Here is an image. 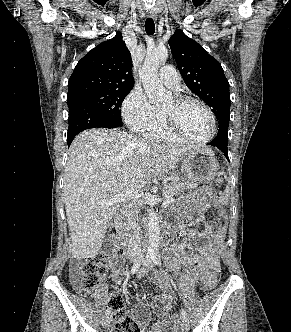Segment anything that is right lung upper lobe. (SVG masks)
I'll return each mask as SVG.
<instances>
[{"mask_svg": "<svg viewBox=\"0 0 291 332\" xmlns=\"http://www.w3.org/2000/svg\"><path fill=\"white\" fill-rule=\"evenodd\" d=\"M131 70V54L118 32L77 63L68 82L67 98L92 91L132 89Z\"/></svg>", "mask_w": 291, "mask_h": 332, "instance_id": "right-lung-upper-lobe-1", "label": "right lung upper lobe"}]
</instances>
